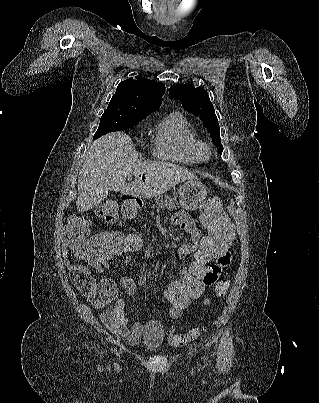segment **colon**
Returning a JSON list of instances; mask_svg holds the SVG:
<instances>
[{
  "mask_svg": "<svg viewBox=\"0 0 319 403\" xmlns=\"http://www.w3.org/2000/svg\"><path fill=\"white\" fill-rule=\"evenodd\" d=\"M102 208L99 217L105 223H113L117 203L103 201ZM200 218L207 231L201 242H198L197 256L191 259L187 275H180L179 282H163V291H168L165 299L167 304L162 308L164 313H184L185 309H192V300L206 296L203 273L214 265L220 252L228 250V247L236 241L233 219L225 217L219 197L212 196L207 200L201 208ZM87 232V223L81 216L71 217L64 228L63 247L71 248L75 256L83 260L87 257H96L98 254L101 258H124L125 254H143V240H140V234H127L123 227L97 229L96 234H90L89 237ZM230 259L231 257L228 264ZM94 279L90 272L71 273L73 284L86 296ZM229 288L230 280L222 279L216 284L214 294L217 298H223ZM200 333L199 329H192L186 333L172 331L168 335V343L174 347H181L197 339Z\"/></svg>",
  "mask_w": 319,
  "mask_h": 403,
  "instance_id": "obj_1",
  "label": "colon"
}]
</instances>
